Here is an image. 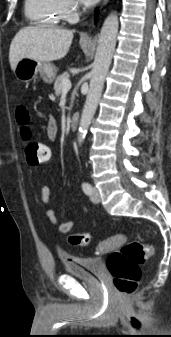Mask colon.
I'll list each match as a JSON object with an SVG mask.
<instances>
[{
    "label": "colon",
    "instance_id": "1",
    "mask_svg": "<svg viewBox=\"0 0 171 337\" xmlns=\"http://www.w3.org/2000/svg\"><path fill=\"white\" fill-rule=\"evenodd\" d=\"M29 114L25 106L17 111V121L23 126L21 131L24 140V154L29 165H38L50 161L52 149L48 145L33 138L31 129L27 126ZM68 241L72 245L87 246L90 242L88 233L71 234ZM96 252L110 253L107 259V268L113 277L114 288L119 296L133 294L141 277L140 264L152 253L150 245L138 241L127 242L124 234H116L101 240L96 246Z\"/></svg>",
    "mask_w": 171,
    "mask_h": 337
}]
</instances>
